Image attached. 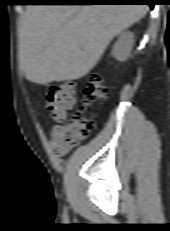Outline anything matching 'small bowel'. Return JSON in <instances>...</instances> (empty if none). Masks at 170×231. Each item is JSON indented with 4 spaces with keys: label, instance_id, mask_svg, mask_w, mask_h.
Instances as JSON below:
<instances>
[{
    "label": "small bowel",
    "instance_id": "c3829d8e",
    "mask_svg": "<svg viewBox=\"0 0 170 231\" xmlns=\"http://www.w3.org/2000/svg\"><path fill=\"white\" fill-rule=\"evenodd\" d=\"M50 148L53 153L59 157L65 156L71 147L65 143L63 138V128L55 125L50 130Z\"/></svg>",
    "mask_w": 170,
    "mask_h": 231
}]
</instances>
